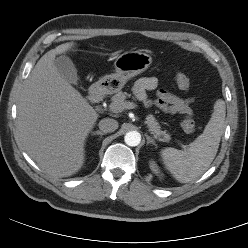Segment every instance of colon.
Instances as JSON below:
<instances>
[{"mask_svg": "<svg viewBox=\"0 0 248 248\" xmlns=\"http://www.w3.org/2000/svg\"><path fill=\"white\" fill-rule=\"evenodd\" d=\"M175 83L180 89H188L189 88V79L181 73H178L174 77ZM182 128L185 133L192 134L195 131V123L194 120L190 116H186L182 121Z\"/></svg>", "mask_w": 248, "mask_h": 248, "instance_id": "colon-1", "label": "colon"}]
</instances>
